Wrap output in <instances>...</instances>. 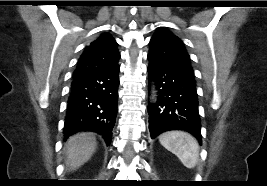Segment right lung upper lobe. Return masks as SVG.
Wrapping results in <instances>:
<instances>
[{"instance_id":"obj_1","label":"right lung upper lobe","mask_w":267,"mask_h":186,"mask_svg":"<svg viewBox=\"0 0 267 186\" xmlns=\"http://www.w3.org/2000/svg\"><path fill=\"white\" fill-rule=\"evenodd\" d=\"M119 58L115 39L107 33L102 34L84 49L73 75L112 65L118 62Z\"/></svg>"}]
</instances>
